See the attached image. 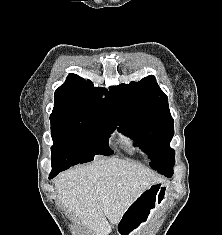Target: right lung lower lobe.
<instances>
[{"mask_svg":"<svg viewBox=\"0 0 222 235\" xmlns=\"http://www.w3.org/2000/svg\"><path fill=\"white\" fill-rule=\"evenodd\" d=\"M57 174H58V173H51V174L49 175V178H53V177H55Z\"/></svg>","mask_w":222,"mask_h":235,"instance_id":"1","label":"right lung lower lobe"}]
</instances>
